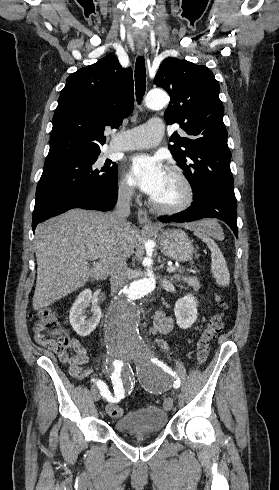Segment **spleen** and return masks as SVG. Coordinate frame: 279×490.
<instances>
[{"label":"spleen","instance_id":"1","mask_svg":"<svg viewBox=\"0 0 279 490\" xmlns=\"http://www.w3.org/2000/svg\"><path fill=\"white\" fill-rule=\"evenodd\" d=\"M194 232L195 236H198L200 240L206 242L209 250H211V270L218 286L227 288L230 282V274L226 260L217 244H215L214 240H211V238H215V240H224L221 226H219L215 220H202V222H199V226Z\"/></svg>","mask_w":279,"mask_h":490}]
</instances>
